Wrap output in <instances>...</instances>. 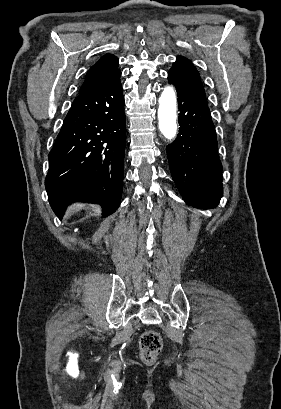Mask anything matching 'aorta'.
<instances>
[{
  "mask_svg": "<svg viewBox=\"0 0 281 409\" xmlns=\"http://www.w3.org/2000/svg\"><path fill=\"white\" fill-rule=\"evenodd\" d=\"M177 100L172 86H167L159 99L158 121L163 136L169 140L176 136Z\"/></svg>",
  "mask_w": 281,
  "mask_h": 409,
  "instance_id": "aorta-1",
  "label": "aorta"
}]
</instances>
